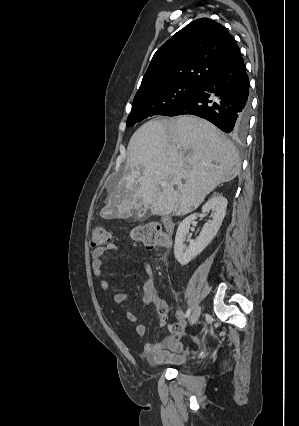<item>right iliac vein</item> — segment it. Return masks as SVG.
<instances>
[{"mask_svg":"<svg viewBox=\"0 0 299 426\" xmlns=\"http://www.w3.org/2000/svg\"><path fill=\"white\" fill-rule=\"evenodd\" d=\"M200 312H201V308L199 306H197L193 310V312H192V314L190 316V319H189L190 325H193V324H195L197 322V320H198V318L200 316Z\"/></svg>","mask_w":299,"mask_h":426,"instance_id":"1","label":"right iliac vein"}]
</instances>
